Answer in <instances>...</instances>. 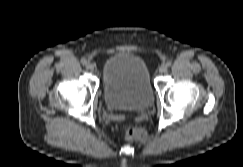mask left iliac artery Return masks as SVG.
I'll return each instance as SVG.
<instances>
[{
	"mask_svg": "<svg viewBox=\"0 0 243 167\" xmlns=\"http://www.w3.org/2000/svg\"><path fill=\"white\" fill-rule=\"evenodd\" d=\"M166 66H171V62L170 61H168L167 63H166Z\"/></svg>",
	"mask_w": 243,
	"mask_h": 167,
	"instance_id": "obj_1",
	"label": "left iliac artery"
}]
</instances>
